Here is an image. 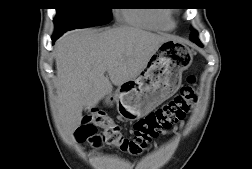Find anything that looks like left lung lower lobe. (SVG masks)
I'll return each mask as SVG.
<instances>
[{"instance_id": "1", "label": "left lung lower lobe", "mask_w": 252, "mask_h": 169, "mask_svg": "<svg viewBox=\"0 0 252 169\" xmlns=\"http://www.w3.org/2000/svg\"><path fill=\"white\" fill-rule=\"evenodd\" d=\"M191 41L195 42L197 45H199L200 47H203L202 43L199 41L198 37L195 36L193 38H190Z\"/></svg>"}]
</instances>
